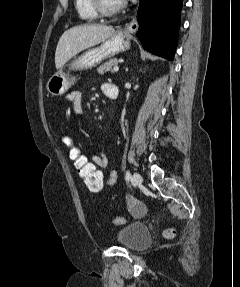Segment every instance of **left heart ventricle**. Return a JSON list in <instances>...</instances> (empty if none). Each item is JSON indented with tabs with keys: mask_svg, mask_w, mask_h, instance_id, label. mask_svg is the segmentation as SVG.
I'll list each match as a JSON object with an SVG mask.
<instances>
[{
	"mask_svg": "<svg viewBox=\"0 0 240 287\" xmlns=\"http://www.w3.org/2000/svg\"><path fill=\"white\" fill-rule=\"evenodd\" d=\"M121 2V0H104V3L107 7H114L118 5Z\"/></svg>",
	"mask_w": 240,
	"mask_h": 287,
	"instance_id": "obj_1",
	"label": "left heart ventricle"
}]
</instances>
